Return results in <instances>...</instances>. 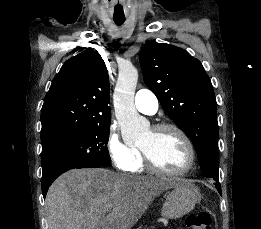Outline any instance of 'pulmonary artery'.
Masks as SVG:
<instances>
[{
	"label": "pulmonary artery",
	"mask_w": 261,
	"mask_h": 229,
	"mask_svg": "<svg viewBox=\"0 0 261 229\" xmlns=\"http://www.w3.org/2000/svg\"><path fill=\"white\" fill-rule=\"evenodd\" d=\"M135 107L143 114L154 115L158 111L159 102L152 91L141 89L135 95Z\"/></svg>",
	"instance_id": "pulmonary-artery-1"
}]
</instances>
